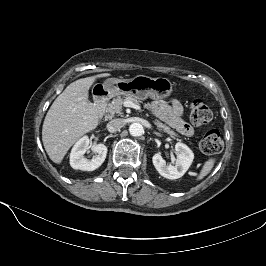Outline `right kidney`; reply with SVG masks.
<instances>
[{
	"instance_id": "obj_1",
	"label": "right kidney",
	"mask_w": 266,
	"mask_h": 266,
	"mask_svg": "<svg viewBox=\"0 0 266 266\" xmlns=\"http://www.w3.org/2000/svg\"><path fill=\"white\" fill-rule=\"evenodd\" d=\"M89 138L84 136L80 138L73 146L70 153V165L73 169L82 171H93L99 168L105 161L107 155V147L104 144H97L93 147L96 154L91 160H87L84 154L89 148Z\"/></svg>"
}]
</instances>
